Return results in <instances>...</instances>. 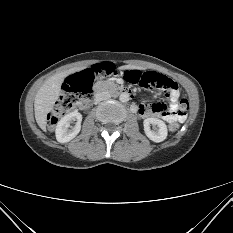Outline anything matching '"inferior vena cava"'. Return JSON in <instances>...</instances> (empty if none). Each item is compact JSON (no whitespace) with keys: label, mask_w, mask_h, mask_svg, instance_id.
<instances>
[{"label":"inferior vena cava","mask_w":233,"mask_h":233,"mask_svg":"<svg viewBox=\"0 0 233 233\" xmlns=\"http://www.w3.org/2000/svg\"><path fill=\"white\" fill-rule=\"evenodd\" d=\"M110 97H111V95L107 92L97 93V94H95L94 102H95V104H97L100 101L109 99Z\"/></svg>","instance_id":"inferior-vena-cava-1"}]
</instances>
